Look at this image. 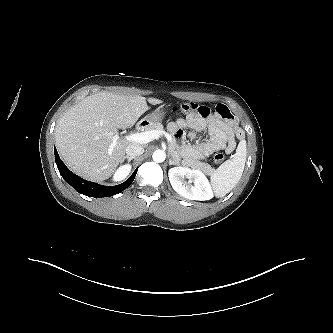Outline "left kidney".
I'll return each instance as SVG.
<instances>
[{"instance_id": "1", "label": "left kidney", "mask_w": 333, "mask_h": 333, "mask_svg": "<svg viewBox=\"0 0 333 333\" xmlns=\"http://www.w3.org/2000/svg\"><path fill=\"white\" fill-rule=\"evenodd\" d=\"M168 176L173 189L184 198L202 201L213 198L212 187L201 170L175 167L169 170Z\"/></svg>"}]
</instances>
